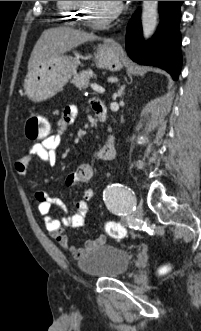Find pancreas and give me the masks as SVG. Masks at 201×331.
<instances>
[{"instance_id": "1", "label": "pancreas", "mask_w": 201, "mask_h": 331, "mask_svg": "<svg viewBox=\"0 0 201 331\" xmlns=\"http://www.w3.org/2000/svg\"><path fill=\"white\" fill-rule=\"evenodd\" d=\"M93 72L91 70L82 71L75 75L71 81L77 88L84 90L88 87L90 79L93 77Z\"/></svg>"}]
</instances>
